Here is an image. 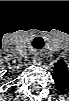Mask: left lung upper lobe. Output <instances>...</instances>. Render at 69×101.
<instances>
[{"mask_svg": "<svg viewBox=\"0 0 69 101\" xmlns=\"http://www.w3.org/2000/svg\"><path fill=\"white\" fill-rule=\"evenodd\" d=\"M55 71L53 78L56 82L57 88L59 91L65 92V89H67L69 85V72L65 62L60 60L55 63Z\"/></svg>", "mask_w": 69, "mask_h": 101, "instance_id": "1", "label": "left lung upper lobe"}]
</instances>
